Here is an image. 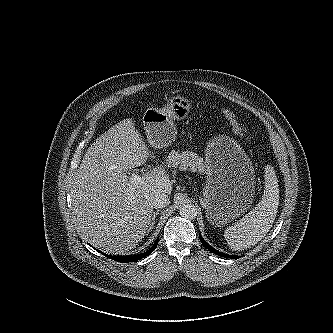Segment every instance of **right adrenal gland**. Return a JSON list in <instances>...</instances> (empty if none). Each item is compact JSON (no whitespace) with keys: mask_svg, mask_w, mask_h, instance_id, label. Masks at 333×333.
<instances>
[{"mask_svg":"<svg viewBox=\"0 0 333 333\" xmlns=\"http://www.w3.org/2000/svg\"><path fill=\"white\" fill-rule=\"evenodd\" d=\"M159 212H160L159 209L156 212H153L151 220H150V226H149L148 232H150L153 229L154 224H155V219H156L157 215L159 214Z\"/></svg>","mask_w":333,"mask_h":333,"instance_id":"right-adrenal-gland-1","label":"right adrenal gland"}]
</instances>
